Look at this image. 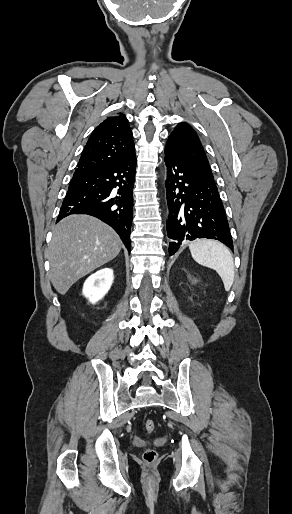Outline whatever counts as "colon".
I'll return each instance as SVG.
<instances>
[{
	"instance_id": "1",
	"label": "colon",
	"mask_w": 292,
	"mask_h": 514,
	"mask_svg": "<svg viewBox=\"0 0 292 514\" xmlns=\"http://www.w3.org/2000/svg\"><path fill=\"white\" fill-rule=\"evenodd\" d=\"M144 427L148 433H153L156 429V424L153 419L147 418L144 422ZM157 457H158L157 451L153 448H146L143 452V460L146 463L155 462Z\"/></svg>"
}]
</instances>
